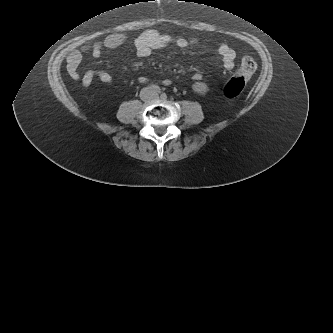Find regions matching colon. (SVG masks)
I'll return each instance as SVG.
<instances>
[{
	"label": "colon",
	"instance_id": "colon-1",
	"mask_svg": "<svg viewBox=\"0 0 333 333\" xmlns=\"http://www.w3.org/2000/svg\"><path fill=\"white\" fill-rule=\"evenodd\" d=\"M256 63L251 57H244L238 72L225 84L223 94L227 98L237 97L244 89L246 81L256 70Z\"/></svg>",
	"mask_w": 333,
	"mask_h": 333
}]
</instances>
